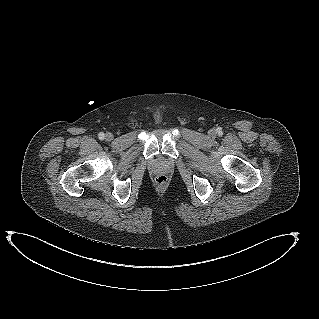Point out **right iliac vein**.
Segmentation results:
<instances>
[{
	"instance_id": "obj_1",
	"label": "right iliac vein",
	"mask_w": 319,
	"mask_h": 319,
	"mask_svg": "<svg viewBox=\"0 0 319 319\" xmlns=\"http://www.w3.org/2000/svg\"><path fill=\"white\" fill-rule=\"evenodd\" d=\"M105 139H106L107 141H111V140L113 139V134H112V133H106Z\"/></svg>"
}]
</instances>
